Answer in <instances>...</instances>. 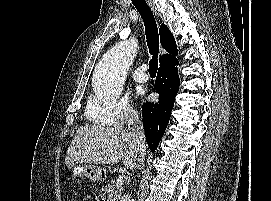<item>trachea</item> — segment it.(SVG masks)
<instances>
[{"label": "trachea", "instance_id": "1", "mask_svg": "<svg viewBox=\"0 0 271 201\" xmlns=\"http://www.w3.org/2000/svg\"><path fill=\"white\" fill-rule=\"evenodd\" d=\"M132 3L139 11L145 25L147 46L152 55L149 61V73L156 74L158 70L159 34L154 15L146 0H132Z\"/></svg>", "mask_w": 271, "mask_h": 201}]
</instances>
